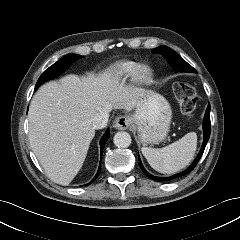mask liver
Masks as SVG:
<instances>
[{"mask_svg":"<svg viewBox=\"0 0 240 240\" xmlns=\"http://www.w3.org/2000/svg\"><path fill=\"white\" fill-rule=\"evenodd\" d=\"M143 94L110 70L97 76L67 75L40 87L29 108V139L47 176L68 185L81 169L95 136L92 118L114 108L131 111Z\"/></svg>","mask_w":240,"mask_h":240,"instance_id":"1","label":"liver"}]
</instances>
